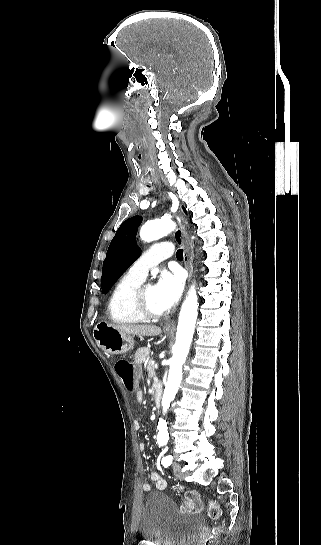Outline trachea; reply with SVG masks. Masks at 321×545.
<instances>
[{
  "mask_svg": "<svg viewBox=\"0 0 321 545\" xmlns=\"http://www.w3.org/2000/svg\"><path fill=\"white\" fill-rule=\"evenodd\" d=\"M145 156L148 158L150 155L147 153ZM146 161L149 163L151 160L148 158ZM176 257L178 258V260H183V250L182 249L177 250Z\"/></svg>",
  "mask_w": 321,
  "mask_h": 545,
  "instance_id": "obj_1",
  "label": "trachea"
}]
</instances>
